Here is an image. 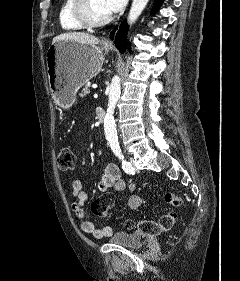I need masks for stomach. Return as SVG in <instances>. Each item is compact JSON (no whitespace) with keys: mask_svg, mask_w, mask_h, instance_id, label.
Here are the masks:
<instances>
[{"mask_svg":"<svg viewBox=\"0 0 240 281\" xmlns=\"http://www.w3.org/2000/svg\"><path fill=\"white\" fill-rule=\"evenodd\" d=\"M112 47L89 45L72 40L52 44L46 54L49 87L56 103L70 107L77 91L101 70L104 55Z\"/></svg>","mask_w":240,"mask_h":281,"instance_id":"obj_1","label":"stomach"}]
</instances>
